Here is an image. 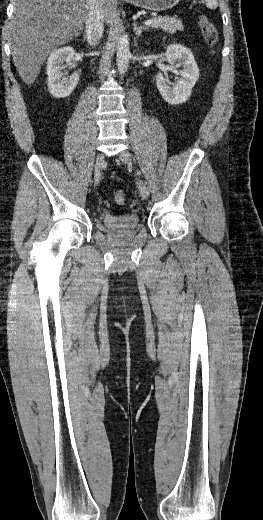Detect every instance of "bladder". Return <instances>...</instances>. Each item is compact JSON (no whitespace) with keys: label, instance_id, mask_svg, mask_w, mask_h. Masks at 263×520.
<instances>
[{"label":"bladder","instance_id":"31cf9c89","mask_svg":"<svg viewBox=\"0 0 263 520\" xmlns=\"http://www.w3.org/2000/svg\"><path fill=\"white\" fill-rule=\"evenodd\" d=\"M104 226L114 232L132 231L139 227L140 217L136 213L108 214L103 218Z\"/></svg>","mask_w":263,"mask_h":520}]
</instances>
